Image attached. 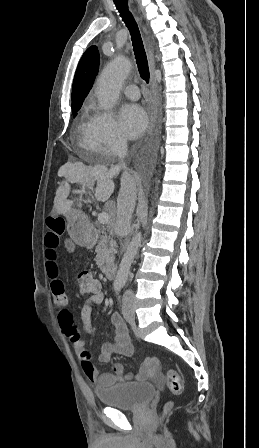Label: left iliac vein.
I'll use <instances>...</instances> for the list:
<instances>
[{"instance_id": "obj_1", "label": "left iliac vein", "mask_w": 259, "mask_h": 448, "mask_svg": "<svg viewBox=\"0 0 259 448\" xmlns=\"http://www.w3.org/2000/svg\"><path fill=\"white\" fill-rule=\"evenodd\" d=\"M122 314L126 321L132 322L135 320V312L132 301L124 300L122 305Z\"/></svg>"}]
</instances>
